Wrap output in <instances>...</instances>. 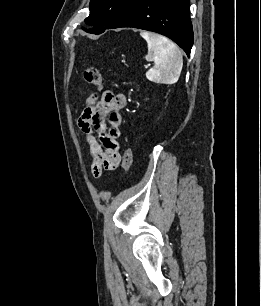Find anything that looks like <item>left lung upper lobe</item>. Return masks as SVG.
<instances>
[{"instance_id": "obj_1", "label": "left lung upper lobe", "mask_w": 261, "mask_h": 306, "mask_svg": "<svg viewBox=\"0 0 261 306\" xmlns=\"http://www.w3.org/2000/svg\"><path fill=\"white\" fill-rule=\"evenodd\" d=\"M133 0H91L90 14L85 19L94 30L82 28L88 33L100 34L110 29L126 12Z\"/></svg>"}]
</instances>
